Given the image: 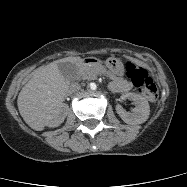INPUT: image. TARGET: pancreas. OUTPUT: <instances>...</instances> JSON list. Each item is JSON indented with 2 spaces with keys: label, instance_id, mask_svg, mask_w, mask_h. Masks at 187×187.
<instances>
[{
  "label": "pancreas",
  "instance_id": "1",
  "mask_svg": "<svg viewBox=\"0 0 187 187\" xmlns=\"http://www.w3.org/2000/svg\"><path fill=\"white\" fill-rule=\"evenodd\" d=\"M100 74L112 78L111 73L101 64H91L81 67L77 71V78L80 80H95Z\"/></svg>",
  "mask_w": 187,
  "mask_h": 187
}]
</instances>
